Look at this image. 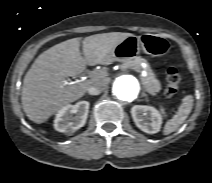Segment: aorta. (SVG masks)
Masks as SVG:
<instances>
[{"label":"aorta","mask_w":212,"mask_h":183,"mask_svg":"<svg viewBox=\"0 0 212 183\" xmlns=\"http://www.w3.org/2000/svg\"><path fill=\"white\" fill-rule=\"evenodd\" d=\"M141 85L139 80L132 75H122L118 77L112 87V93L119 102H131L140 93Z\"/></svg>","instance_id":"obj_1"}]
</instances>
